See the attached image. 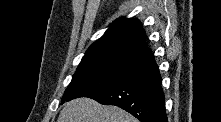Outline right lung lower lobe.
I'll return each instance as SVG.
<instances>
[{
    "label": "right lung lower lobe",
    "mask_w": 221,
    "mask_h": 122,
    "mask_svg": "<svg viewBox=\"0 0 221 122\" xmlns=\"http://www.w3.org/2000/svg\"><path fill=\"white\" fill-rule=\"evenodd\" d=\"M158 66L150 53L120 80L87 97L115 105L141 122H168Z\"/></svg>",
    "instance_id": "right-lung-lower-lobe-1"
}]
</instances>
